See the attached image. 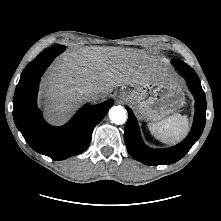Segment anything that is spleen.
<instances>
[{"mask_svg":"<svg viewBox=\"0 0 221 221\" xmlns=\"http://www.w3.org/2000/svg\"><path fill=\"white\" fill-rule=\"evenodd\" d=\"M148 128L151 134L161 142L174 144L187 135L189 121L186 115L176 113L162 121L149 123Z\"/></svg>","mask_w":221,"mask_h":221,"instance_id":"1","label":"spleen"}]
</instances>
